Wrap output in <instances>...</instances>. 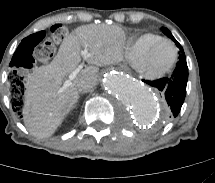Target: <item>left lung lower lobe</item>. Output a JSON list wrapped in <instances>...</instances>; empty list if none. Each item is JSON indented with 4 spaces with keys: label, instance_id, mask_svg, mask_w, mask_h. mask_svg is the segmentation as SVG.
Here are the masks:
<instances>
[{
    "label": "left lung lower lobe",
    "instance_id": "0a47b994",
    "mask_svg": "<svg viewBox=\"0 0 215 183\" xmlns=\"http://www.w3.org/2000/svg\"><path fill=\"white\" fill-rule=\"evenodd\" d=\"M187 80L188 67L184 57L178 61L170 77L154 81H143L157 88L162 93L167 103L168 118H173L179 114L183 105L186 96Z\"/></svg>",
    "mask_w": 215,
    "mask_h": 183
}]
</instances>
